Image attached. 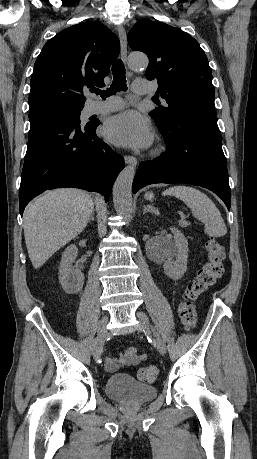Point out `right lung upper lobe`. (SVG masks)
Here are the masks:
<instances>
[{
	"label": "right lung upper lobe",
	"instance_id": "cb5924a9",
	"mask_svg": "<svg viewBox=\"0 0 257 459\" xmlns=\"http://www.w3.org/2000/svg\"><path fill=\"white\" fill-rule=\"evenodd\" d=\"M117 36L100 22L64 29L43 47L30 81V113L61 107H84L83 92L104 86L119 53Z\"/></svg>",
	"mask_w": 257,
	"mask_h": 459
}]
</instances>
